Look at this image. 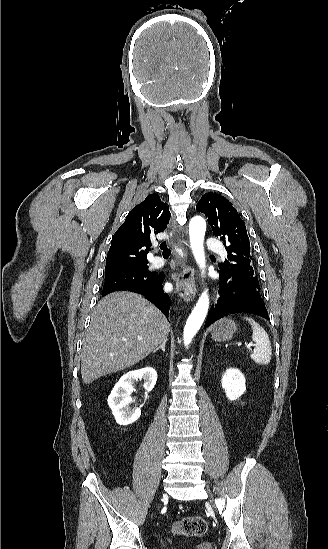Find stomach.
Masks as SVG:
<instances>
[{"mask_svg": "<svg viewBox=\"0 0 328 549\" xmlns=\"http://www.w3.org/2000/svg\"><path fill=\"white\" fill-rule=\"evenodd\" d=\"M237 331V325L231 319H220L212 327L211 339L213 341H231L234 333Z\"/></svg>", "mask_w": 328, "mask_h": 549, "instance_id": "stomach-1", "label": "stomach"}]
</instances>
